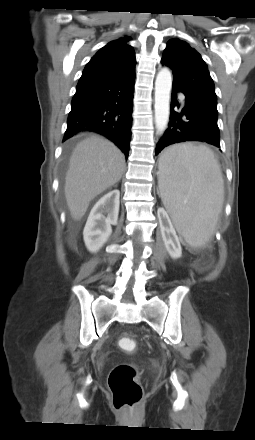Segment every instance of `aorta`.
Returning <instances> with one entry per match:
<instances>
[{"mask_svg":"<svg viewBox=\"0 0 255 440\" xmlns=\"http://www.w3.org/2000/svg\"><path fill=\"white\" fill-rule=\"evenodd\" d=\"M172 88L171 72L167 68L159 71L155 81V125L158 134H162L169 121L170 93Z\"/></svg>","mask_w":255,"mask_h":440,"instance_id":"762f6f07","label":"aorta"}]
</instances>
